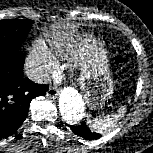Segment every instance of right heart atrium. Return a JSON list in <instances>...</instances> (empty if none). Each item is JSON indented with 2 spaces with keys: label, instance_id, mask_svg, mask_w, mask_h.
I'll return each mask as SVG.
<instances>
[{
  "label": "right heart atrium",
  "instance_id": "1",
  "mask_svg": "<svg viewBox=\"0 0 153 153\" xmlns=\"http://www.w3.org/2000/svg\"><path fill=\"white\" fill-rule=\"evenodd\" d=\"M26 66L33 78L42 81L55 69L56 64L46 47L37 41L29 50Z\"/></svg>",
  "mask_w": 153,
  "mask_h": 153
}]
</instances>
